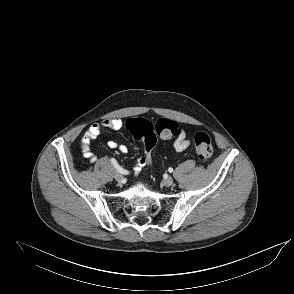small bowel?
Returning <instances> with one entry per match:
<instances>
[{
	"label": "small bowel",
	"mask_w": 294,
	"mask_h": 294,
	"mask_svg": "<svg viewBox=\"0 0 294 294\" xmlns=\"http://www.w3.org/2000/svg\"><path fill=\"white\" fill-rule=\"evenodd\" d=\"M130 123V119L123 120L120 118H112L105 119L100 122H96L92 124L89 129L84 134L81 140V148L83 156L91 163H94L97 160L95 154H93L90 150V144L94 141L102 132L103 129H112L119 130L124 127H128ZM108 146L111 149H117L121 153L125 154L128 152L127 146L124 144H119L115 141H109ZM190 146V141L187 139L185 132L181 131L178 137L175 139L173 143L174 150L177 152H182L186 150ZM149 161L145 157H141L136 160L134 169L135 171H140Z\"/></svg>",
	"instance_id": "1"
}]
</instances>
